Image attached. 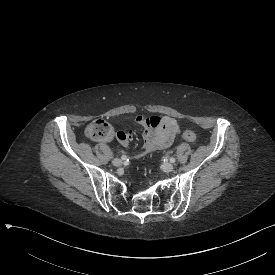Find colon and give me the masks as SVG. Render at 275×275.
Here are the masks:
<instances>
[{"label": "colon", "instance_id": "obj_1", "mask_svg": "<svg viewBox=\"0 0 275 275\" xmlns=\"http://www.w3.org/2000/svg\"><path fill=\"white\" fill-rule=\"evenodd\" d=\"M85 136L90 141H105L113 136L111 125L103 120L97 119L87 125L85 128ZM183 138L190 143L196 141V134L190 129H184L182 132Z\"/></svg>", "mask_w": 275, "mask_h": 275}]
</instances>
